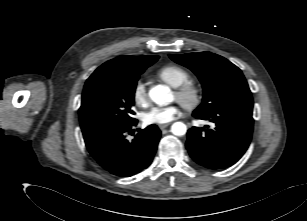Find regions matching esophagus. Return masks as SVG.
Listing matches in <instances>:
<instances>
[{"instance_id":"obj_1","label":"esophagus","mask_w":307,"mask_h":221,"mask_svg":"<svg viewBox=\"0 0 307 221\" xmlns=\"http://www.w3.org/2000/svg\"><path fill=\"white\" fill-rule=\"evenodd\" d=\"M169 125H170V123L160 124V125H159V128L162 130V129L168 127Z\"/></svg>"}]
</instances>
